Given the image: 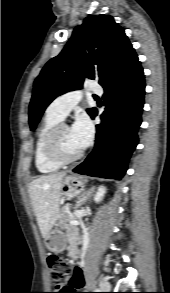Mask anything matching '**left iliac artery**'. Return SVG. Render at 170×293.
<instances>
[{
  "label": "left iliac artery",
  "instance_id": "obj_1",
  "mask_svg": "<svg viewBox=\"0 0 170 293\" xmlns=\"http://www.w3.org/2000/svg\"><path fill=\"white\" fill-rule=\"evenodd\" d=\"M100 289L101 290H106V288L104 286H102L101 284H100Z\"/></svg>",
  "mask_w": 170,
  "mask_h": 293
}]
</instances>
